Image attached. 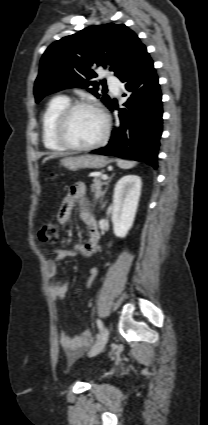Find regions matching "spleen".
Listing matches in <instances>:
<instances>
[{"instance_id":"1","label":"spleen","mask_w":208,"mask_h":425,"mask_svg":"<svg viewBox=\"0 0 208 425\" xmlns=\"http://www.w3.org/2000/svg\"><path fill=\"white\" fill-rule=\"evenodd\" d=\"M116 162H117V165L122 169H130L137 164L134 161H128L123 159H117Z\"/></svg>"}]
</instances>
